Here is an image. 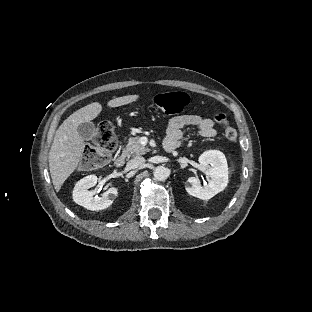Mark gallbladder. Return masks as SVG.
<instances>
[{
  "label": "gallbladder",
  "instance_id": "bac80fb5",
  "mask_svg": "<svg viewBox=\"0 0 312 312\" xmlns=\"http://www.w3.org/2000/svg\"><path fill=\"white\" fill-rule=\"evenodd\" d=\"M77 131L84 140H90L94 136L95 125L92 122H84L78 126Z\"/></svg>",
  "mask_w": 312,
  "mask_h": 312
}]
</instances>
